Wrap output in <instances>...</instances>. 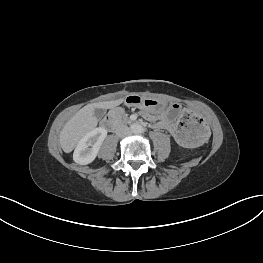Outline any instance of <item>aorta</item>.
<instances>
[{"mask_svg":"<svg viewBox=\"0 0 263 263\" xmlns=\"http://www.w3.org/2000/svg\"><path fill=\"white\" fill-rule=\"evenodd\" d=\"M130 131H131L132 133H139V132L142 131V126L139 125V124H137V123H133V124H131V126H130Z\"/></svg>","mask_w":263,"mask_h":263,"instance_id":"1","label":"aorta"}]
</instances>
